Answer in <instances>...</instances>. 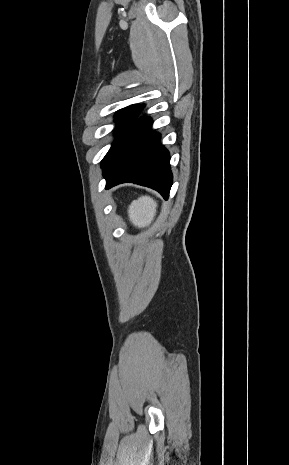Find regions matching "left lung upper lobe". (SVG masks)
<instances>
[{"label":"left lung upper lobe","mask_w":289,"mask_h":465,"mask_svg":"<svg viewBox=\"0 0 289 465\" xmlns=\"http://www.w3.org/2000/svg\"><path fill=\"white\" fill-rule=\"evenodd\" d=\"M144 105H131L127 108L119 110L115 115V120L118 122L116 131V140L112 147L102 160V162L112 153V151L120 144L124 137L128 134L135 123L136 116L143 109Z\"/></svg>","instance_id":"1"}]
</instances>
